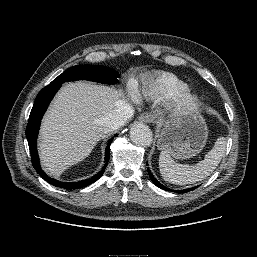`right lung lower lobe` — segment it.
<instances>
[{
	"label": "right lung lower lobe",
	"instance_id": "1",
	"mask_svg": "<svg viewBox=\"0 0 257 257\" xmlns=\"http://www.w3.org/2000/svg\"><path fill=\"white\" fill-rule=\"evenodd\" d=\"M60 87H61V84L48 85L38 93V95L35 99L33 108L31 110L30 116H29V121H28L27 128H26V137H27L28 144H29L32 164H33L34 168L36 169L37 173L43 179H45L48 183H50L56 187H61L64 189H78V188H82V187L92 184L93 182L97 181L102 176V174L104 173V171L107 167V164H108V161L110 158V145H111L113 138H111L108 141V144L105 149V164H104V166L102 167L101 171H99L97 174H95L91 178L81 180L78 182L65 183V182H59V181L47 176V174L40 167L39 157H38V153H37L36 139H37L42 116H43L44 112L46 111L53 96L55 95V93L58 91V89Z\"/></svg>",
	"mask_w": 257,
	"mask_h": 257
}]
</instances>
